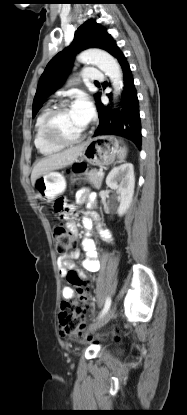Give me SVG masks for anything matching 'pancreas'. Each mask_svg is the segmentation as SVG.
Segmentation results:
<instances>
[{
  "instance_id": "pancreas-1",
  "label": "pancreas",
  "mask_w": 187,
  "mask_h": 415,
  "mask_svg": "<svg viewBox=\"0 0 187 415\" xmlns=\"http://www.w3.org/2000/svg\"><path fill=\"white\" fill-rule=\"evenodd\" d=\"M82 174L85 175L86 180H88L94 188L100 189L103 178H104V174L99 175L96 169L85 171Z\"/></svg>"
}]
</instances>
